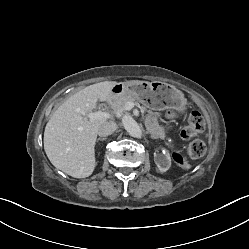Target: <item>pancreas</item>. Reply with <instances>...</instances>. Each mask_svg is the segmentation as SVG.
<instances>
[{
  "label": "pancreas",
  "mask_w": 249,
  "mask_h": 249,
  "mask_svg": "<svg viewBox=\"0 0 249 249\" xmlns=\"http://www.w3.org/2000/svg\"><path fill=\"white\" fill-rule=\"evenodd\" d=\"M128 102L136 103L135 99L130 95H121L114 97L111 100V108L114 110V112L124 111L125 106ZM155 116L158 117L159 114L156 113ZM159 134L162 135V133Z\"/></svg>",
  "instance_id": "obj_1"
}]
</instances>
